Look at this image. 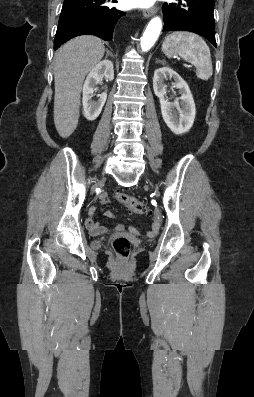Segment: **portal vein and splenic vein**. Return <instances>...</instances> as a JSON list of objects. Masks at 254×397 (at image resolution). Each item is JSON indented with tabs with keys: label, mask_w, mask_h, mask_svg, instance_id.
<instances>
[{
	"label": "portal vein and splenic vein",
	"mask_w": 254,
	"mask_h": 397,
	"mask_svg": "<svg viewBox=\"0 0 254 397\" xmlns=\"http://www.w3.org/2000/svg\"><path fill=\"white\" fill-rule=\"evenodd\" d=\"M186 67H188V68H191L192 66H191V65H189V64H187V65H186Z\"/></svg>",
	"instance_id": "18ae733b"
}]
</instances>
